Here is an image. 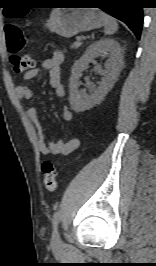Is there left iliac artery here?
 <instances>
[{"instance_id": "44dca946", "label": "left iliac artery", "mask_w": 156, "mask_h": 266, "mask_svg": "<svg viewBox=\"0 0 156 266\" xmlns=\"http://www.w3.org/2000/svg\"><path fill=\"white\" fill-rule=\"evenodd\" d=\"M59 220H60V211H56L53 215V226L54 228L57 227L58 223H59Z\"/></svg>"}]
</instances>
